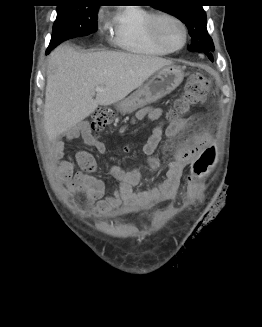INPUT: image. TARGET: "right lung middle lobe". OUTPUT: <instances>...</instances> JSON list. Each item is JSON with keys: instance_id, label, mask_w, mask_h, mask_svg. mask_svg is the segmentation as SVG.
<instances>
[{"instance_id": "obj_1", "label": "right lung middle lobe", "mask_w": 262, "mask_h": 327, "mask_svg": "<svg viewBox=\"0 0 262 327\" xmlns=\"http://www.w3.org/2000/svg\"><path fill=\"white\" fill-rule=\"evenodd\" d=\"M93 3V1L64 2L57 6V18L46 54L64 40L96 32L99 6Z\"/></svg>"}]
</instances>
